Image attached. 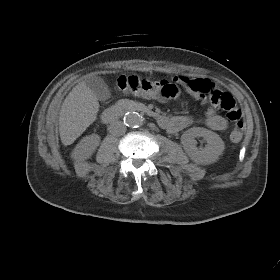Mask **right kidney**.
<instances>
[{"label": "right kidney", "instance_id": "1", "mask_svg": "<svg viewBox=\"0 0 280 280\" xmlns=\"http://www.w3.org/2000/svg\"><path fill=\"white\" fill-rule=\"evenodd\" d=\"M100 136L92 134L84 137L76 147V151L85 158H89L99 146Z\"/></svg>", "mask_w": 280, "mask_h": 280}]
</instances>
